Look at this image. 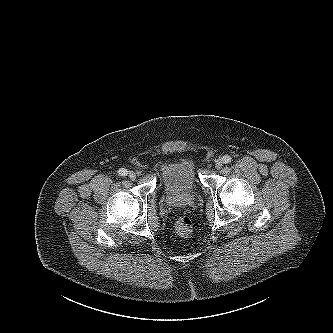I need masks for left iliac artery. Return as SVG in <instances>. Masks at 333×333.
Segmentation results:
<instances>
[{
	"label": "left iliac artery",
	"mask_w": 333,
	"mask_h": 333,
	"mask_svg": "<svg viewBox=\"0 0 333 333\" xmlns=\"http://www.w3.org/2000/svg\"><path fill=\"white\" fill-rule=\"evenodd\" d=\"M231 156H229V155H225L224 157H223V161H224V163H229V162H231Z\"/></svg>",
	"instance_id": "obj_1"
}]
</instances>
